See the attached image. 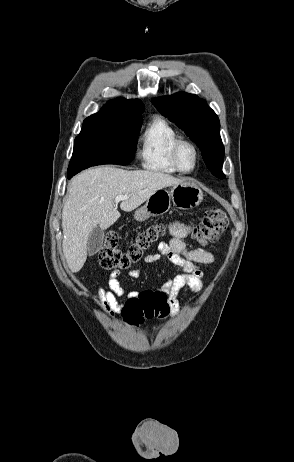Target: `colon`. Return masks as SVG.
<instances>
[{"instance_id":"colon-1","label":"colon","mask_w":294,"mask_h":462,"mask_svg":"<svg viewBox=\"0 0 294 462\" xmlns=\"http://www.w3.org/2000/svg\"><path fill=\"white\" fill-rule=\"evenodd\" d=\"M229 220L220 206H210L201 221L192 225L194 240L202 245L215 242L228 228ZM164 232L162 225H154L141 232L126 250L119 248V236L115 231L106 236L98 253V261L106 270L120 271L139 262ZM170 313L166 296L156 290H145L127 299L121 311L123 319L132 325H140L146 319H163Z\"/></svg>"}]
</instances>
